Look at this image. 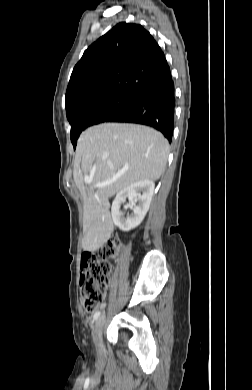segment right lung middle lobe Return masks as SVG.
Wrapping results in <instances>:
<instances>
[{
  "label": "right lung middle lobe",
  "instance_id": "dd1d6c3e",
  "mask_svg": "<svg viewBox=\"0 0 252 390\" xmlns=\"http://www.w3.org/2000/svg\"><path fill=\"white\" fill-rule=\"evenodd\" d=\"M134 100L131 95H111L77 106L67 119L71 125V142L76 147L77 140L87 127L106 122L112 116L128 108Z\"/></svg>",
  "mask_w": 252,
  "mask_h": 390
}]
</instances>
